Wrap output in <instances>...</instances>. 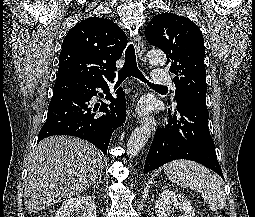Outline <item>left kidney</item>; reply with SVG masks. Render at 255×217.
Masks as SVG:
<instances>
[{
  "instance_id": "1",
  "label": "left kidney",
  "mask_w": 255,
  "mask_h": 217,
  "mask_svg": "<svg viewBox=\"0 0 255 217\" xmlns=\"http://www.w3.org/2000/svg\"><path fill=\"white\" fill-rule=\"evenodd\" d=\"M174 208L182 212L180 217H196L189 200L185 196L169 189L163 190L155 204V216L169 217Z\"/></svg>"
}]
</instances>
